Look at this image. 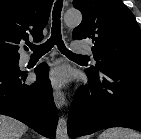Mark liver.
<instances>
[{
    "instance_id": "1",
    "label": "liver",
    "mask_w": 141,
    "mask_h": 139,
    "mask_svg": "<svg viewBox=\"0 0 141 139\" xmlns=\"http://www.w3.org/2000/svg\"><path fill=\"white\" fill-rule=\"evenodd\" d=\"M28 127L9 116L0 115V139H21Z\"/></svg>"
}]
</instances>
